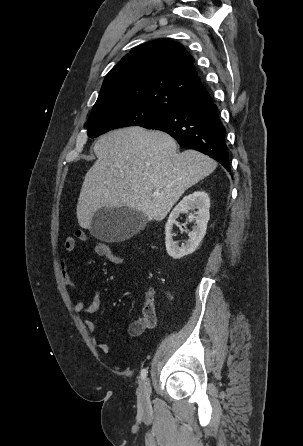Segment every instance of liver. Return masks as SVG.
Here are the masks:
<instances>
[{
	"label": "liver",
	"instance_id": "obj_1",
	"mask_svg": "<svg viewBox=\"0 0 303 446\" xmlns=\"http://www.w3.org/2000/svg\"><path fill=\"white\" fill-rule=\"evenodd\" d=\"M94 152L97 160L86 173L76 208L84 229H90L92 217L103 208L127 207L148 221H161L188 188L217 167L198 151L177 153L168 134L139 126L102 135Z\"/></svg>",
	"mask_w": 303,
	"mask_h": 446
}]
</instances>
